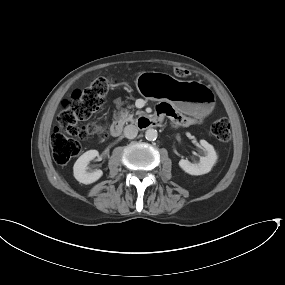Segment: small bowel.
I'll use <instances>...</instances> for the list:
<instances>
[{"instance_id": "small-bowel-1", "label": "small bowel", "mask_w": 285, "mask_h": 285, "mask_svg": "<svg viewBox=\"0 0 285 285\" xmlns=\"http://www.w3.org/2000/svg\"><path fill=\"white\" fill-rule=\"evenodd\" d=\"M156 114L158 120H162L165 117L168 116H173V108L170 105H158L156 107ZM173 120L176 124L179 125H191L196 122L194 118H189V117H182V119H177V116L173 117Z\"/></svg>"}]
</instances>
